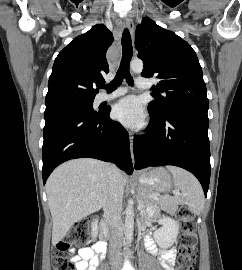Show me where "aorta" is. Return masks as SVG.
Masks as SVG:
<instances>
[{
    "instance_id": "1",
    "label": "aorta",
    "mask_w": 242,
    "mask_h": 270,
    "mask_svg": "<svg viewBox=\"0 0 242 270\" xmlns=\"http://www.w3.org/2000/svg\"><path fill=\"white\" fill-rule=\"evenodd\" d=\"M130 68L135 73H141L143 70V62L140 59H134L130 63ZM124 230L126 243L127 245H130L133 240V231H134V211L131 201H129L125 210Z\"/></svg>"
}]
</instances>
